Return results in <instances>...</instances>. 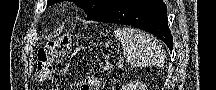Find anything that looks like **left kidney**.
<instances>
[{"label": "left kidney", "mask_w": 216, "mask_h": 90, "mask_svg": "<svg viewBox=\"0 0 216 90\" xmlns=\"http://www.w3.org/2000/svg\"><path fill=\"white\" fill-rule=\"evenodd\" d=\"M123 90H147V86L139 82V80H136V82H129V84H126Z\"/></svg>", "instance_id": "5707ae66"}]
</instances>
